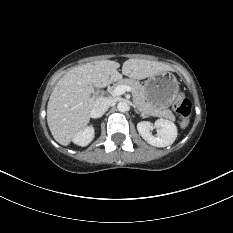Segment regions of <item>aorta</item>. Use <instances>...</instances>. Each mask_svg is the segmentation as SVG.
<instances>
[{"label":"aorta","mask_w":233,"mask_h":233,"mask_svg":"<svg viewBox=\"0 0 233 233\" xmlns=\"http://www.w3.org/2000/svg\"><path fill=\"white\" fill-rule=\"evenodd\" d=\"M117 109L120 111V112H125L128 110V104L125 102V101H120L118 104H117Z\"/></svg>","instance_id":"762f6f07"}]
</instances>
